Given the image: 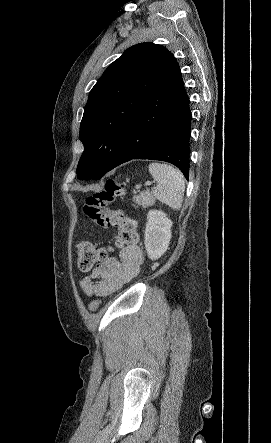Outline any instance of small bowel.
<instances>
[{
  "instance_id": "obj_1",
  "label": "small bowel",
  "mask_w": 271,
  "mask_h": 443,
  "mask_svg": "<svg viewBox=\"0 0 271 443\" xmlns=\"http://www.w3.org/2000/svg\"><path fill=\"white\" fill-rule=\"evenodd\" d=\"M108 252H114L113 247ZM143 262L141 249L129 245L119 251L118 257L107 254L92 273L81 280V288L89 296H108L134 278Z\"/></svg>"
}]
</instances>
